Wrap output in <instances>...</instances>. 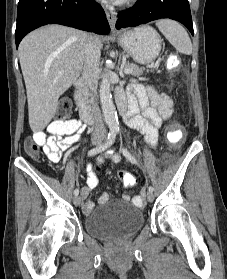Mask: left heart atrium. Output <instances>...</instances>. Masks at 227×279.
<instances>
[{"mask_svg":"<svg viewBox=\"0 0 227 279\" xmlns=\"http://www.w3.org/2000/svg\"><path fill=\"white\" fill-rule=\"evenodd\" d=\"M112 1H115V2H121V1H123V0H112Z\"/></svg>","mask_w":227,"mask_h":279,"instance_id":"39dd6f15","label":"left heart atrium"}]
</instances>
